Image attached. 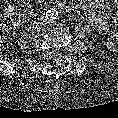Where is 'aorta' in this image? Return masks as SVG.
Returning a JSON list of instances; mask_svg holds the SVG:
<instances>
[{
    "instance_id": "aorta-1",
    "label": "aorta",
    "mask_w": 118,
    "mask_h": 118,
    "mask_svg": "<svg viewBox=\"0 0 118 118\" xmlns=\"http://www.w3.org/2000/svg\"><path fill=\"white\" fill-rule=\"evenodd\" d=\"M57 17H58V11L54 8L47 10V12L45 13V18L49 21H53L57 19Z\"/></svg>"
}]
</instances>
